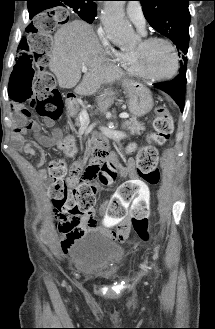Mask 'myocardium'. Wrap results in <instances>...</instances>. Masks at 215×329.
Returning a JSON list of instances; mask_svg holds the SVG:
<instances>
[{
	"label": "myocardium",
	"instance_id": "f54148a6",
	"mask_svg": "<svg viewBox=\"0 0 215 329\" xmlns=\"http://www.w3.org/2000/svg\"><path fill=\"white\" fill-rule=\"evenodd\" d=\"M155 43H164V44L168 45L173 53V56L175 59V66H174L173 71L168 75L154 76V75L148 73L144 69V60H145L146 52H147L148 48ZM133 61H134V66H135L138 74L140 76L145 77L152 81L170 80L173 77H175V75L178 73L179 68H180V58H179V54H178L177 48L174 45V43L167 38L158 37V36H151V37L144 38L139 43L138 47L133 51Z\"/></svg>",
	"mask_w": 215,
	"mask_h": 329
}]
</instances>
